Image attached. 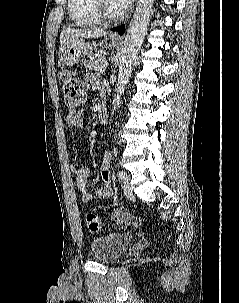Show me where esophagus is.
<instances>
[{"instance_id":"1","label":"esophagus","mask_w":239,"mask_h":303,"mask_svg":"<svg viewBox=\"0 0 239 303\" xmlns=\"http://www.w3.org/2000/svg\"><path fill=\"white\" fill-rule=\"evenodd\" d=\"M112 38L115 39V40H121V36L117 35V34H114L112 35Z\"/></svg>"}]
</instances>
